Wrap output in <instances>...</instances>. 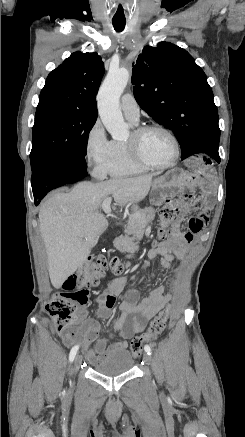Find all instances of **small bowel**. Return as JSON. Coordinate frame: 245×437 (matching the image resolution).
<instances>
[{
    "mask_svg": "<svg viewBox=\"0 0 245 437\" xmlns=\"http://www.w3.org/2000/svg\"><path fill=\"white\" fill-rule=\"evenodd\" d=\"M199 155L197 152L194 154ZM193 156L188 161L189 174L198 175L201 180H218L219 174L216 165L205 154L197 158ZM204 192L210 189L207 183L201 186ZM186 196H189L187 191ZM187 205L190 207H201L202 198L187 199ZM185 215L181 214L168 229V238L161 241L157 248L151 249L148 253L149 260L159 258L160 265L163 268H169L171 262L178 257L183 256L188 244L193 241L194 234L204 228L208 221L207 211L202 212L189 221V230L182 232L180 224ZM124 278L113 280L105 292L99 294L96 298L98 304L97 315L104 319H113L112 331L118 335V339L110 341L108 338L98 339L99 326L93 319H85L83 323L84 334L80 338H72L63 334L62 338L66 345H71L74 341L80 340L86 357L94 362L111 352L124 350L128 346V340L134 335L144 331L147 322L153 318L168 301L169 296L164 294L163 287L151 289L147 296L138 300V292L134 285H129L124 291ZM123 293V302L119 307V314L113 317L112 309L115 304L116 296ZM83 317L86 316V310L83 309Z\"/></svg>",
    "mask_w": 245,
    "mask_h": 437,
    "instance_id": "small-bowel-1",
    "label": "small bowel"
}]
</instances>
